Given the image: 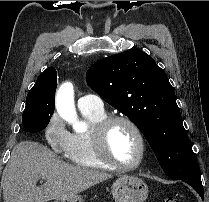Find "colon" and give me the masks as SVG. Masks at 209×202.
<instances>
[{"mask_svg": "<svg viewBox=\"0 0 209 202\" xmlns=\"http://www.w3.org/2000/svg\"><path fill=\"white\" fill-rule=\"evenodd\" d=\"M161 202H179V201L174 197H166V198L162 199Z\"/></svg>", "mask_w": 209, "mask_h": 202, "instance_id": "colon-1", "label": "colon"}]
</instances>
